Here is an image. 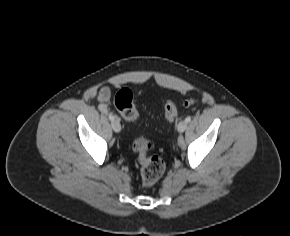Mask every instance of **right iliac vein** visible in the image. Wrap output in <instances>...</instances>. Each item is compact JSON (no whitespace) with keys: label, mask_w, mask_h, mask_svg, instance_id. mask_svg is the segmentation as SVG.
I'll return each instance as SVG.
<instances>
[{"label":"right iliac vein","mask_w":290,"mask_h":236,"mask_svg":"<svg viewBox=\"0 0 290 236\" xmlns=\"http://www.w3.org/2000/svg\"><path fill=\"white\" fill-rule=\"evenodd\" d=\"M112 128L117 133L121 131V125H120L118 120H113L112 121Z\"/></svg>","instance_id":"1"}]
</instances>
